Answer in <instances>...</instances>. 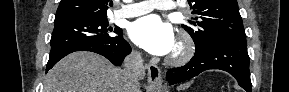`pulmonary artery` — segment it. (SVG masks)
I'll return each instance as SVG.
<instances>
[{
    "label": "pulmonary artery",
    "instance_id": "obj_1",
    "mask_svg": "<svg viewBox=\"0 0 289 92\" xmlns=\"http://www.w3.org/2000/svg\"><path fill=\"white\" fill-rule=\"evenodd\" d=\"M153 9L172 10L175 9V5L169 0H146L123 7L115 13L114 17L116 19L137 17L147 14Z\"/></svg>",
    "mask_w": 289,
    "mask_h": 92
}]
</instances>
